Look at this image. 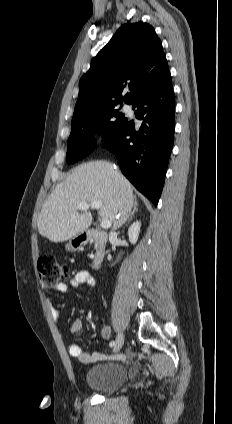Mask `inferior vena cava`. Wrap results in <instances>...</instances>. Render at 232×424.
Listing matches in <instances>:
<instances>
[{
	"label": "inferior vena cava",
	"instance_id": "1",
	"mask_svg": "<svg viewBox=\"0 0 232 424\" xmlns=\"http://www.w3.org/2000/svg\"><path fill=\"white\" fill-rule=\"evenodd\" d=\"M132 205L133 197L130 195L126 200L124 207L119 211L116 219L113 221V231H115L117 228H119L122 224L125 223V221L131 214Z\"/></svg>",
	"mask_w": 232,
	"mask_h": 424
}]
</instances>
